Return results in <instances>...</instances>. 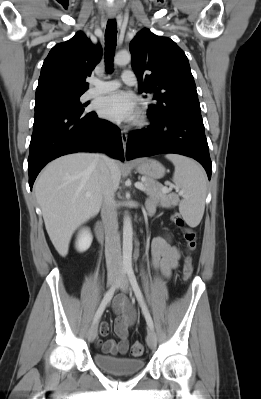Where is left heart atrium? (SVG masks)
Listing matches in <instances>:
<instances>
[{"mask_svg": "<svg viewBox=\"0 0 261 399\" xmlns=\"http://www.w3.org/2000/svg\"><path fill=\"white\" fill-rule=\"evenodd\" d=\"M97 110L102 117L115 122L131 121L137 116L131 95L123 91L100 98L97 102Z\"/></svg>", "mask_w": 261, "mask_h": 399, "instance_id": "1", "label": "left heart atrium"}]
</instances>
